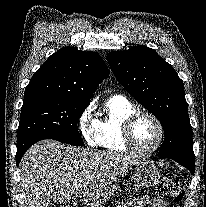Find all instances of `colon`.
Returning a JSON list of instances; mask_svg holds the SVG:
<instances>
[{
  "mask_svg": "<svg viewBox=\"0 0 206 207\" xmlns=\"http://www.w3.org/2000/svg\"><path fill=\"white\" fill-rule=\"evenodd\" d=\"M159 193L174 203H180L184 192L180 177L175 173H167L158 188ZM61 207H75L72 204H64Z\"/></svg>",
  "mask_w": 206,
  "mask_h": 207,
  "instance_id": "colon-1",
  "label": "colon"
}]
</instances>
